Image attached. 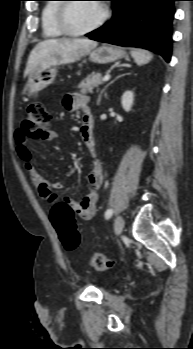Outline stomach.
Masks as SVG:
<instances>
[{
	"label": "stomach",
	"instance_id": "1",
	"mask_svg": "<svg viewBox=\"0 0 193 349\" xmlns=\"http://www.w3.org/2000/svg\"><path fill=\"white\" fill-rule=\"evenodd\" d=\"M126 56L127 53L119 47L103 45L90 52L89 59L94 63L108 64ZM56 75L57 69L55 66L34 70L28 76V80L23 87V93L30 99H36L41 90L54 82Z\"/></svg>",
	"mask_w": 193,
	"mask_h": 349
}]
</instances>
